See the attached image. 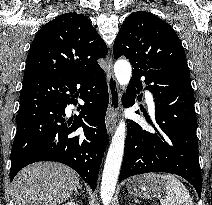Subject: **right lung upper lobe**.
I'll return each mask as SVG.
<instances>
[{"label": "right lung upper lobe", "instance_id": "1", "mask_svg": "<svg viewBox=\"0 0 212 205\" xmlns=\"http://www.w3.org/2000/svg\"><path fill=\"white\" fill-rule=\"evenodd\" d=\"M107 47L83 14H62L36 34L27 56L23 84L45 78L65 77L100 70L97 59Z\"/></svg>", "mask_w": 212, "mask_h": 205}]
</instances>
